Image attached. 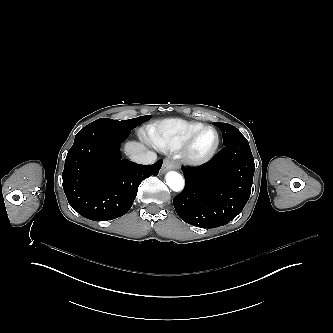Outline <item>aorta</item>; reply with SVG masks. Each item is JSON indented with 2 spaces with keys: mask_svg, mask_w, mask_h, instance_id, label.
<instances>
[{
  "mask_svg": "<svg viewBox=\"0 0 333 333\" xmlns=\"http://www.w3.org/2000/svg\"><path fill=\"white\" fill-rule=\"evenodd\" d=\"M166 182L168 187L176 193L182 192L185 187V181L182 175L177 172H169L166 175Z\"/></svg>",
  "mask_w": 333,
  "mask_h": 333,
  "instance_id": "aorta-1",
  "label": "aorta"
}]
</instances>
